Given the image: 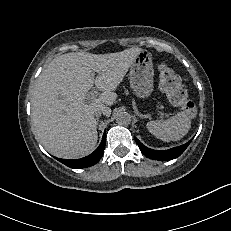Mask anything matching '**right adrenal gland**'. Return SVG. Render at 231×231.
<instances>
[{
	"mask_svg": "<svg viewBox=\"0 0 231 231\" xmlns=\"http://www.w3.org/2000/svg\"><path fill=\"white\" fill-rule=\"evenodd\" d=\"M99 118H100V115H97V116H96L97 125H98V122H99Z\"/></svg>",
	"mask_w": 231,
	"mask_h": 231,
	"instance_id": "obj_1",
	"label": "right adrenal gland"
}]
</instances>
